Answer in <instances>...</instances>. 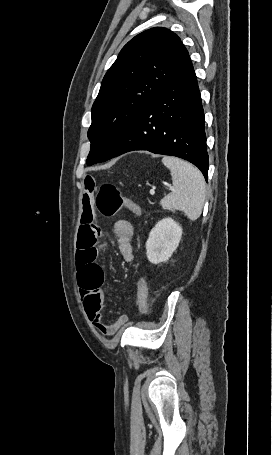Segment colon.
Here are the masks:
<instances>
[{
    "label": "colon",
    "mask_w": 272,
    "mask_h": 455,
    "mask_svg": "<svg viewBox=\"0 0 272 455\" xmlns=\"http://www.w3.org/2000/svg\"><path fill=\"white\" fill-rule=\"evenodd\" d=\"M97 209L106 217L115 216L123 207L134 214L139 212L138 207L128 198L124 197L119 189L110 182H103L96 196ZM148 303V281L142 275L138 281L136 305L141 312L147 309Z\"/></svg>",
    "instance_id": "1"
}]
</instances>
